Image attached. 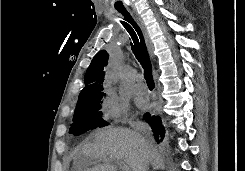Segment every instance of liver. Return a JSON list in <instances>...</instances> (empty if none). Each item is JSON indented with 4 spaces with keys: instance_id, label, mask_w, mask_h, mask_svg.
<instances>
[{
    "instance_id": "obj_1",
    "label": "liver",
    "mask_w": 245,
    "mask_h": 171,
    "mask_svg": "<svg viewBox=\"0 0 245 171\" xmlns=\"http://www.w3.org/2000/svg\"><path fill=\"white\" fill-rule=\"evenodd\" d=\"M95 141L86 144L81 153L104 164L85 171H117L113 162L124 161L132 171H141L148 162L153 169H164V161L157 149L139 133L123 128H108L94 134ZM147 141V145L145 144Z\"/></svg>"
}]
</instances>
